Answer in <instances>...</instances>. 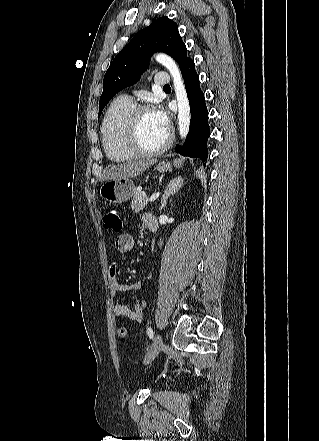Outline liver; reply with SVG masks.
Returning a JSON list of instances; mask_svg holds the SVG:
<instances>
[{"label":"liver","instance_id":"obj_1","mask_svg":"<svg viewBox=\"0 0 319 441\" xmlns=\"http://www.w3.org/2000/svg\"><path fill=\"white\" fill-rule=\"evenodd\" d=\"M157 162L156 159H141L135 161H127L117 165L107 167L102 175L101 180L113 179H129L136 177L146 171L151 165Z\"/></svg>","mask_w":319,"mask_h":441}]
</instances>
